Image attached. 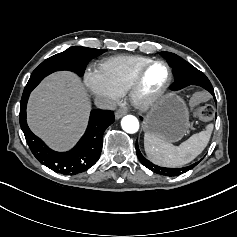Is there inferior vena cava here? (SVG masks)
Listing matches in <instances>:
<instances>
[{"label": "inferior vena cava", "mask_w": 237, "mask_h": 237, "mask_svg": "<svg viewBox=\"0 0 237 237\" xmlns=\"http://www.w3.org/2000/svg\"><path fill=\"white\" fill-rule=\"evenodd\" d=\"M94 103L100 109L115 110L117 107V103L114 100L106 97H96Z\"/></svg>", "instance_id": "inferior-vena-cava-1"}]
</instances>
